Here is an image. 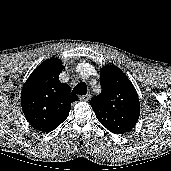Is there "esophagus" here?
Instances as JSON below:
<instances>
[{
	"instance_id": "esophagus-1",
	"label": "esophagus",
	"mask_w": 171,
	"mask_h": 171,
	"mask_svg": "<svg viewBox=\"0 0 171 171\" xmlns=\"http://www.w3.org/2000/svg\"><path fill=\"white\" fill-rule=\"evenodd\" d=\"M90 98H91V95H90V94H85V95L79 96V99H80L81 101H89Z\"/></svg>"
}]
</instances>
